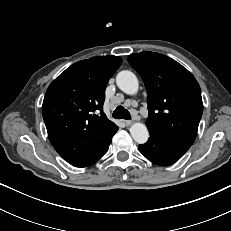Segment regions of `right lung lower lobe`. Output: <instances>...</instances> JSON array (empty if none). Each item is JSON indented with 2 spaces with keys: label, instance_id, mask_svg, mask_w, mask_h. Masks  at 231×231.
Instances as JSON below:
<instances>
[{
  "label": "right lung lower lobe",
  "instance_id": "obj_1",
  "mask_svg": "<svg viewBox=\"0 0 231 231\" xmlns=\"http://www.w3.org/2000/svg\"><path fill=\"white\" fill-rule=\"evenodd\" d=\"M108 147H109V146H108ZM108 147H107L106 149H104V150L101 152V154L98 156L97 160L100 159V158L106 153ZM97 160H96V161H97ZM96 161H95V162H96ZM95 162H94V163H95Z\"/></svg>",
  "mask_w": 231,
  "mask_h": 231
}]
</instances>
